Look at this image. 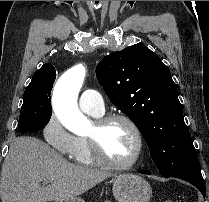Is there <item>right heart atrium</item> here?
I'll list each match as a JSON object with an SVG mask.
<instances>
[{"instance_id": "d8ad5b80", "label": "right heart atrium", "mask_w": 209, "mask_h": 202, "mask_svg": "<svg viewBox=\"0 0 209 202\" xmlns=\"http://www.w3.org/2000/svg\"><path fill=\"white\" fill-rule=\"evenodd\" d=\"M42 133L45 141L57 152L69 155L73 148L75 137L63 127L55 114H51L48 117Z\"/></svg>"}]
</instances>
